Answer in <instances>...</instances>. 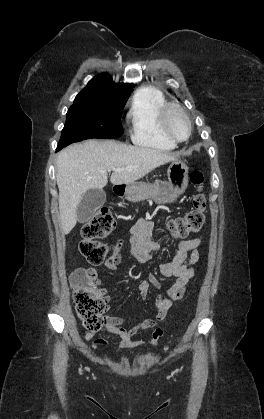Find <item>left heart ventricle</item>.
<instances>
[{"mask_svg": "<svg viewBox=\"0 0 264 419\" xmlns=\"http://www.w3.org/2000/svg\"><path fill=\"white\" fill-rule=\"evenodd\" d=\"M169 129L172 134L179 138L184 139L188 134V126L184 118L176 112L169 115L168 118Z\"/></svg>", "mask_w": 264, "mask_h": 419, "instance_id": "left-heart-ventricle-1", "label": "left heart ventricle"}]
</instances>
